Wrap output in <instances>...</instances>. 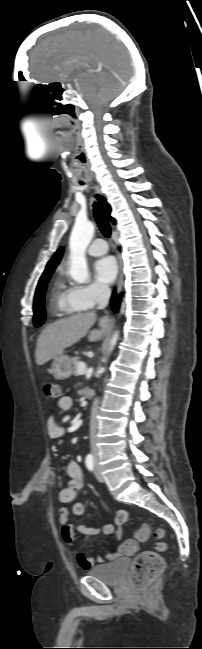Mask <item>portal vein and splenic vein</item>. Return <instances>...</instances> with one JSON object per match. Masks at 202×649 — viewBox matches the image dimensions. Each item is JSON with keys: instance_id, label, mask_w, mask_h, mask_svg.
<instances>
[{"instance_id": "18ae733b", "label": "portal vein and splenic vein", "mask_w": 202, "mask_h": 649, "mask_svg": "<svg viewBox=\"0 0 202 649\" xmlns=\"http://www.w3.org/2000/svg\"><path fill=\"white\" fill-rule=\"evenodd\" d=\"M78 372H79L80 375L85 374V372H86V365H85L83 362H80V363L78 364Z\"/></svg>"}]
</instances>
